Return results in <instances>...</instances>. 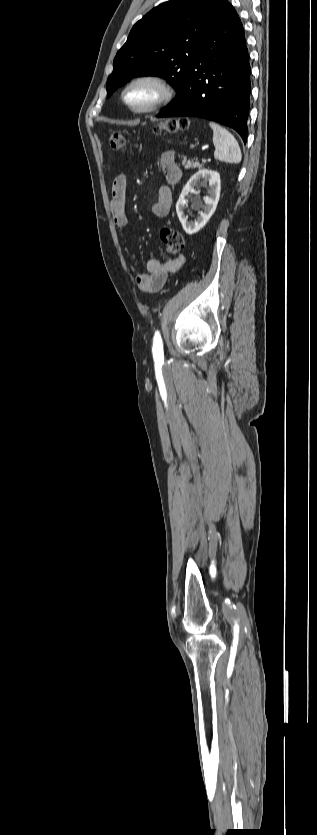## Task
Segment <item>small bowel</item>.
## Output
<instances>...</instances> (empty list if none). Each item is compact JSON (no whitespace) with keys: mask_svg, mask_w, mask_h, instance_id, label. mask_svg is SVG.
I'll use <instances>...</instances> for the list:
<instances>
[{"mask_svg":"<svg viewBox=\"0 0 317 835\" xmlns=\"http://www.w3.org/2000/svg\"><path fill=\"white\" fill-rule=\"evenodd\" d=\"M161 167L165 183L160 186L158 200L152 205V212L160 218L167 216L172 206L173 196L170 186L178 183L183 175L172 152H167L162 156ZM126 186V176L116 175L111 187L110 211L113 223L119 230H123L128 224L125 212ZM184 262V254L169 260L149 259L146 263L147 272L136 275L135 280L139 289L145 292L160 290L168 274L179 270Z\"/></svg>","mask_w":317,"mask_h":835,"instance_id":"c3829d8e","label":"small bowel"}]
</instances>
